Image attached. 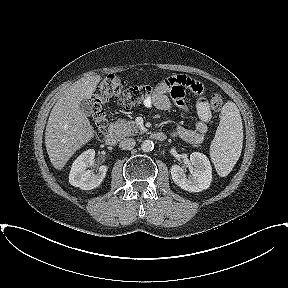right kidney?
<instances>
[{
  "label": "right kidney",
  "instance_id": "obj_1",
  "mask_svg": "<svg viewBox=\"0 0 288 288\" xmlns=\"http://www.w3.org/2000/svg\"><path fill=\"white\" fill-rule=\"evenodd\" d=\"M94 157V149H89L79 155L73 162L69 174V182L72 186L79 187L82 190H91L102 183L108 170L106 165L100 166L97 174L86 170L88 165L94 162Z\"/></svg>",
  "mask_w": 288,
  "mask_h": 288
}]
</instances>
